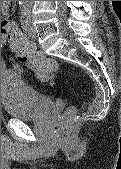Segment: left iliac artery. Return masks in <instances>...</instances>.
Wrapping results in <instances>:
<instances>
[{
	"label": "left iliac artery",
	"mask_w": 121,
	"mask_h": 169,
	"mask_svg": "<svg viewBox=\"0 0 121 169\" xmlns=\"http://www.w3.org/2000/svg\"><path fill=\"white\" fill-rule=\"evenodd\" d=\"M21 26L25 30L28 24V19H29V9L27 7H22L21 9Z\"/></svg>",
	"instance_id": "obj_1"
}]
</instances>
